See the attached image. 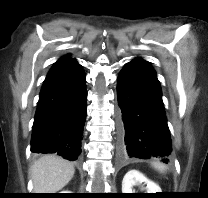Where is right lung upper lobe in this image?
I'll return each instance as SVG.
<instances>
[{
	"instance_id": "right-lung-upper-lobe-1",
	"label": "right lung upper lobe",
	"mask_w": 208,
	"mask_h": 198,
	"mask_svg": "<svg viewBox=\"0 0 208 198\" xmlns=\"http://www.w3.org/2000/svg\"><path fill=\"white\" fill-rule=\"evenodd\" d=\"M73 61H75V59H72V58H70L69 55H66V56L62 57L61 59H59L57 62L54 63L50 72L53 71L54 69L62 66V65H65V64L73 62Z\"/></svg>"
}]
</instances>
